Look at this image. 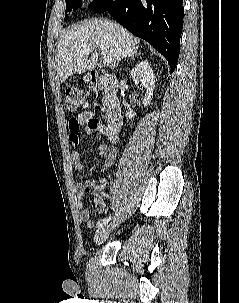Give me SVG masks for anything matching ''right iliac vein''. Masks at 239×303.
Returning <instances> with one entry per match:
<instances>
[{
  "label": "right iliac vein",
  "instance_id": "right-iliac-vein-1",
  "mask_svg": "<svg viewBox=\"0 0 239 303\" xmlns=\"http://www.w3.org/2000/svg\"><path fill=\"white\" fill-rule=\"evenodd\" d=\"M111 231V226H105L98 229L94 235V243L96 245L102 244L109 236Z\"/></svg>",
  "mask_w": 239,
  "mask_h": 303
}]
</instances>
